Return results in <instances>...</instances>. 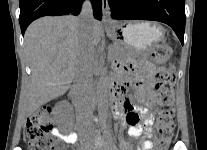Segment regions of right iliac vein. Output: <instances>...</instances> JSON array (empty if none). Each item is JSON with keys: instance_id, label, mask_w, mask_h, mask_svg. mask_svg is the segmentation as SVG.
<instances>
[{"instance_id": "right-iliac-vein-1", "label": "right iliac vein", "mask_w": 207, "mask_h": 150, "mask_svg": "<svg viewBox=\"0 0 207 150\" xmlns=\"http://www.w3.org/2000/svg\"><path fill=\"white\" fill-rule=\"evenodd\" d=\"M82 150H90V149H88L87 146L83 145Z\"/></svg>"}]
</instances>
